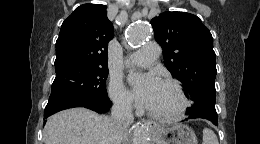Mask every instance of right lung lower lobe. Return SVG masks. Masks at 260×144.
<instances>
[{
    "label": "right lung lower lobe",
    "mask_w": 260,
    "mask_h": 144,
    "mask_svg": "<svg viewBox=\"0 0 260 144\" xmlns=\"http://www.w3.org/2000/svg\"><path fill=\"white\" fill-rule=\"evenodd\" d=\"M112 106V102L108 99H103V100H98L92 103H75V104H63V105H58V106H52L45 108L44 110V119L48 118L52 114L59 112L64 109L68 108H74V107H84L91 109L93 111H96L98 113H105L107 112L110 107ZM45 123V122H44Z\"/></svg>",
    "instance_id": "obj_1"
}]
</instances>
